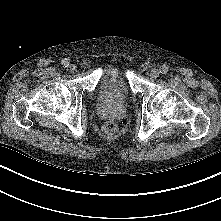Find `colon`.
Returning <instances> with one entry per match:
<instances>
[{
	"mask_svg": "<svg viewBox=\"0 0 221 221\" xmlns=\"http://www.w3.org/2000/svg\"><path fill=\"white\" fill-rule=\"evenodd\" d=\"M103 131L107 135H113L117 131V124L114 121L109 120L103 125Z\"/></svg>",
	"mask_w": 221,
	"mask_h": 221,
	"instance_id": "1",
	"label": "colon"
}]
</instances>
